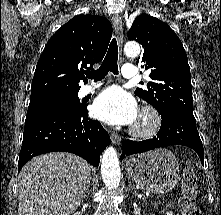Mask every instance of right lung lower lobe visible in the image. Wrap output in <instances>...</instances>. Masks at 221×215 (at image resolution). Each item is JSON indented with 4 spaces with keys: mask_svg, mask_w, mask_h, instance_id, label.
<instances>
[{
    "mask_svg": "<svg viewBox=\"0 0 221 215\" xmlns=\"http://www.w3.org/2000/svg\"><path fill=\"white\" fill-rule=\"evenodd\" d=\"M110 137L86 106L75 112L50 110L26 116L18 172L31 158L54 151L74 153L98 166Z\"/></svg>",
    "mask_w": 221,
    "mask_h": 215,
    "instance_id": "obj_1",
    "label": "right lung lower lobe"
}]
</instances>
